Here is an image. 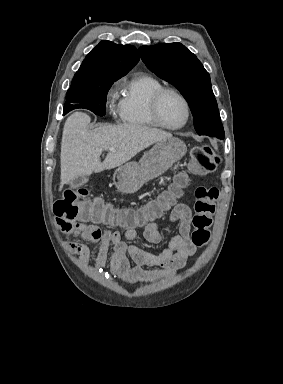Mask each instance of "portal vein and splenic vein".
I'll return each instance as SVG.
<instances>
[{
	"mask_svg": "<svg viewBox=\"0 0 283 384\" xmlns=\"http://www.w3.org/2000/svg\"><path fill=\"white\" fill-rule=\"evenodd\" d=\"M110 152H116L115 148H109Z\"/></svg>",
	"mask_w": 283,
	"mask_h": 384,
	"instance_id": "portal-vein-and-splenic-vein-1",
	"label": "portal vein and splenic vein"
}]
</instances>
